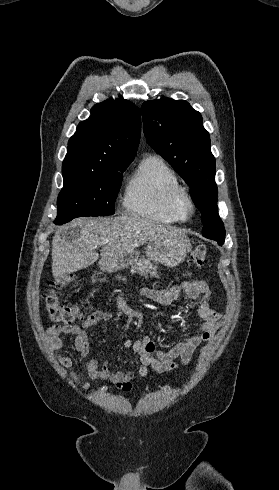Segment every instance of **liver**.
<instances>
[{
	"instance_id": "6515ba94",
	"label": "liver",
	"mask_w": 279,
	"mask_h": 490,
	"mask_svg": "<svg viewBox=\"0 0 279 490\" xmlns=\"http://www.w3.org/2000/svg\"><path fill=\"white\" fill-rule=\"evenodd\" d=\"M79 226L80 238L66 242L61 236L63 228L55 232L52 242V276L63 278L72 272L92 266L99 254L103 260L129 254L147 242H163L183 238L182 230L171 226H159L137 216L118 218H76L71 222ZM65 228V226H64ZM187 238V236H185Z\"/></svg>"
}]
</instances>
